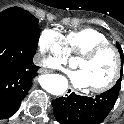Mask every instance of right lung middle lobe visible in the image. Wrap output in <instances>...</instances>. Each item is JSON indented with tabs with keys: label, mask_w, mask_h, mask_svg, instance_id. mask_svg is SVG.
Instances as JSON below:
<instances>
[{
	"label": "right lung middle lobe",
	"mask_w": 124,
	"mask_h": 124,
	"mask_svg": "<svg viewBox=\"0 0 124 124\" xmlns=\"http://www.w3.org/2000/svg\"><path fill=\"white\" fill-rule=\"evenodd\" d=\"M38 22L30 12L11 7L0 13V34H38Z\"/></svg>",
	"instance_id": "right-lung-middle-lobe-1"
}]
</instances>
